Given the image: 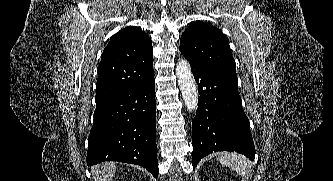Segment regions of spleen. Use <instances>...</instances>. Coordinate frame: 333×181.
I'll use <instances>...</instances> for the list:
<instances>
[{
	"mask_svg": "<svg viewBox=\"0 0 333 181\" xmlns=\"http://www.w3.org/2000/svg\"><path fill=\"white\" fill-rule=\"evenodd\" d=\"M219 162L232 170L242 177H246L251 174L249 169V162L246 158L236 153H222L219 158Z\"/></svg>",
	"mask_w": 333,
	"mask_h": 181,
	"instance_id": "3e777b00",
	"label": "spleen"
}]
</instances>
